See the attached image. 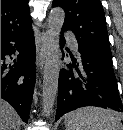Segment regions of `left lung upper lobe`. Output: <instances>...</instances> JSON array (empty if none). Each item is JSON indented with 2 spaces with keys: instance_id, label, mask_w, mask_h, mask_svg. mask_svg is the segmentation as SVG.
I'll return each instance as SVG.
<instances>
[{
  "instance_id": "1",
  "label": "left lung upper lobe",
  "mask_w": 123,
  "mask_h": 130,
  "mask_svg": "<svg viewBox=\"0 0 123 130\" xmlns=\"http://www.w3.org/2000/svg\"><path fill=\"white\" fill-rule=\"evenodd\" d=\"M52 6L64 9L62 29L74 32L78 44L111 55L100 0H53Z\"/></svg>"
}]
</instances>
